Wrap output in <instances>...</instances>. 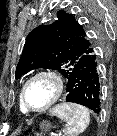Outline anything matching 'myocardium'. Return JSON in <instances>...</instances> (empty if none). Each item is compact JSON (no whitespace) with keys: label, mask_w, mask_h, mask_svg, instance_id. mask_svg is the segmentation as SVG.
Masks as SVG:
<instances>
[{"label":"myocardium","mask_w":117,"mask_h":136,"mask_svg":"<svg viewBox=\"0 0 117 136\" xmlns=\"http://www.w3.org/2000/svg\"><path fill=\"white\" fill-rule=\"evenodd\" d=\"M40 77H46V78L50 79L54 84L55 92H54L52 99L48 102L47 105H45L41 109H33L27 103L26 91H27L28 85L33 80L40 78ZM63 91H64V82H63L62 77L57 72H55L53 70H40V71H37L36 73H34L33 75H31L25 81V83L21 89V95H20L21 103H22L24 109L26 110V112L43 113V112L47 111L50 107H52L59 100V98L63 94Z\"/></svg>","instance_id":"1"}]
</instances>
